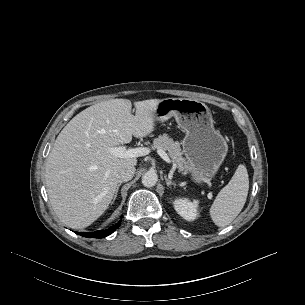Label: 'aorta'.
Wrapping results in <instances>:
<instances>
[{
    "label": "aorta",
    "mask_w": 305,
    "mask_h": 305,
    "mask_svg": "<svg viewBox=\"0 0 305 305\" xmlns=\"http://www.w3.org/2000/svg\"><path fill=\"white\" fill-rule=\"evenodd\" d=\"M157 181H158V176L154 171H147L142 176V184L145 187H153L156 185Z\"/></svg>",
    "instance_id": "aorta-1"
}]
</instances>
